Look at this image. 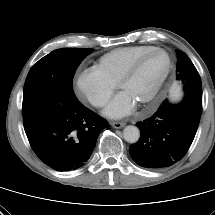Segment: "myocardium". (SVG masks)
Instances as JSON below:
<instances>
[{
  "label": "myocardium",
  "mask_w": 215,
  "mask_h": 215,
  "mask_svg": "<svg viewBox=\"0 0 215 215\" xmlns=\"http://www.w3.org/2000/svg\"><path fill=\"white\" fill-rule=\"evenodd\" d=\"M156 53H162L167 56L168 66H167V69L164 72L163 76L161 77V79L159 80V82L157 83L155 88L152 90V92L149 94V96L141 101L142 105L152 102L159 95V93L161 92V90L163 89L164 85L166 84V82L169 78V75H170L172 67H173V60H172L171 55L166 50H164L162 48H154V49L142 54L129 65V67L125 70V72L122 74V76L120 77V79L117 82V88L121 90L123 85L134 77V75L136 74V72L138 71L140 66L150 56H152L153 54H156Z\"/></svg>",
  "instance_id": "1"
}]
</instances>
